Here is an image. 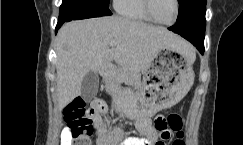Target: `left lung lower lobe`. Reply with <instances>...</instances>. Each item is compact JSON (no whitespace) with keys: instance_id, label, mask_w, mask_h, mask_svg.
Instances as JSON below:
<instances>
[{"instance_id":"left-lung-lower-lobe-1","label":"left lung lower lobe","mask_w":243,"mask_h":145,"mask_svg":"<svg viewBox=\"0 0 243 145\" xmlns=\"http://www.w3.org/2000/svg\"><path fill=\"white\" fill-rule=\"evenodd\" d=\"M169 29L190 41L202 54L204 53L205 32L196 22L186 21V18L180 14L175 26Z\"/></svg>"}]
</instances>
